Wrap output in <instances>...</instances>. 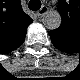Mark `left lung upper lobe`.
I'll use <instances>...</instances> for the list:
<instances>
[{
  "label": "left lung upper lobe",
  "instance_id": "obj_1",
  "mask_svg": "<svg viewBox=\"0 0 80 80\" xmlns=\"http://www.w3.org/2000/svg\"><path fill=\"white\" fill-rule=\"evenodd\" d=\"M60 13L62 15L63 20H62L61 26L58 29L53 31L52 36H54V38H56L57 36L61 38L67 37L68 35L67 29H70L71 21L70 19H68L67 13L64 10L60 11ZM71 20H72V17H71Z\"/></svg>",
  "mask_w": 80,
  "mask_h": 80
}]
</instances>
